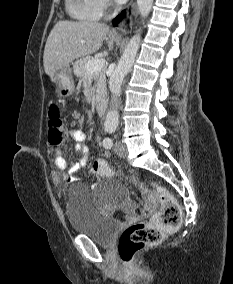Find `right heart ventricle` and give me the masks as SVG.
Wrapping results in <instances>:
<instances>
[{"label": "right heart ventricle", "instance_id": "obj_1", "mask_svg": "<svg viewBox=\"0 0 233 284\" xmlns=\"http://www.w3.org/2000/svg\"><path fill=\"white\" fill-rule=\"evenodd\" d=\"M69 15L79 21H97L103 15L102 0H66Z\"/></svg>", "mask_w": 233, "mask_h": 284}]
</instances>
